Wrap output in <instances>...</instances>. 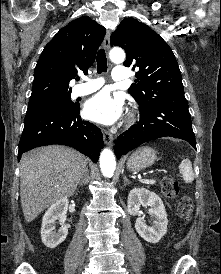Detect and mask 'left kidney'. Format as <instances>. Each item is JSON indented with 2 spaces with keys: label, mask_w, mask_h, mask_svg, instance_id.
I'll return each mask as SVG.
<instances>
[{
  "label": "left kidney",
  "mask_w": 221,
  "mask_h": 274,
  "mask_svg": "<svg viewBox=\"0 0 221 274\" xmlns=\"http://www.w3.org/2000/svg\"><path fill=\"white\" fill-rule=\"evenodd\" d=\"M130 215H139L135 222V229L139 236L150 243H158L167 232L168 219L164 204L160 197L145 188H134L128 195L127 203ZM148 206L152 217V224L148 226L144 217L140 216V206Z\"/></svg>",
  "instance_id": "obj_1"
}]
</instances>
